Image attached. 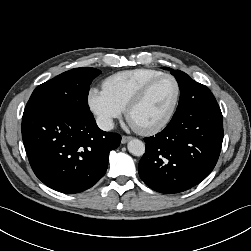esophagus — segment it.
<instances>
[{"mask_svg": "<svg viewBox=\"0 0 251 251\" xmlns=\"http://www.w3.org/2000/svg\"><path fill=\"white\" fill-rule=\"evenodd\" d=\"M132 139V137H130V136H122V139H121V143L122 144H125V143H127L129 140H131Z\"/></svg>", "mask_w": 251, "mask_h": 251, "instance_id": "34e87169", "label": "esophagus"}]
</instances>
